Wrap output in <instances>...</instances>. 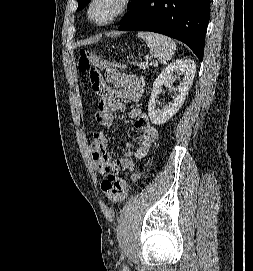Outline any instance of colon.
Segmentation results:
<instances>
[{"instance_id": "colon-1", "label": "colon", "mask_w": 253, "mask_h": 271, "mask_svg": "<svg viewBox=\"0 0 253 271\" xmlns=\"http://www.w3.org/2000/svg\"><path fill=\"white\" fill-rule=\"evenodd\" d=\"M113 65L97 54L90 53L84 49L80 50L78 68L83 73H88L92 90L98 94L101 90L99 72L101 69L112 68ZM138 178V174L132 176L130 180L113 176L101 182V190L111 201L123 200L128 193V188L132 182Z\"/></svg>"}]
</instances>
